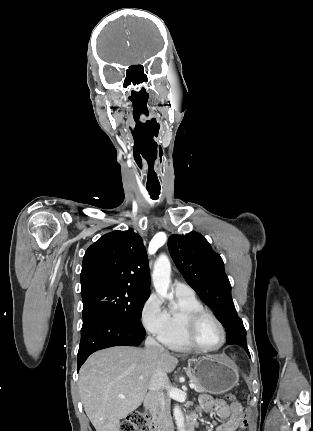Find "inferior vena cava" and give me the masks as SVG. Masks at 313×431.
Instances as JSON below:
<instances>
[{
    "label": "inferior vena cava",
    "instance_id": "inferior-vena-cava-1",
    "mask_svg": "<svg viewBox=\"0 0 313 431\" xmlns=\"http://www.w3.org/2000/svg\"><path fill=\"white\" fill-rule=\"evenodd\" d=\"M145 346L147 349H156L160 352L165 351V349L151 336L146 338ZM166 382L167 374L159 365H157L148 384L150 394L147 396V401L155 411H158L161 414L162 431H174L167 403L161 395V391L164 389Z\"/></svg>",
    "mask_w": 313,
    "mask_h": 431
}]
</instances>
